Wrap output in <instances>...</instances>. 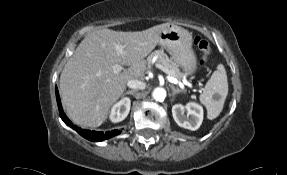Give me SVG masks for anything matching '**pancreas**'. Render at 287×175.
<instances>
[{
    "label": "pancreas",
    "mask_w": 287,
    "mask_h": 175,
    "mask_svg": "<svg viewBox=\"0 0 287 175\" xmlns=\"http://www.w3.org/2000/svg\"><path fill=\"white\" fill-rule=\"evenodd\" d=\"M155 57L156 63L161 64L168 71L170 76H174L178 79L181 77V72L178 66L164 53L163 50H156L152 52L147 58V61L150 63Z\"/></svg>",
    "instance_id": "1"
}]
</instances>
